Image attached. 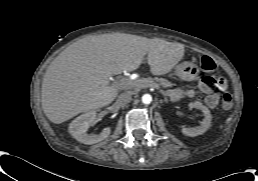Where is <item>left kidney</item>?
Wrapping results in <instances>:
<instances>
[{
    "instance_id": "obj_1",
    "label": "left kidney",
    "mask_w": 258,
    "mask_h": 181,
    "mask_svg": "<svg viewBox=\"0 0 258 181\" xmlns=\"http://www.w3.org/2000/svg\"><path fill=\"white\" fill-rule=\"evenodd\" d=\"M189 107L190 108H196V109L200 110L203 113L204 118H203V120H202V122L200 123L199 126L183 127L182 128V133L184 135L190 136V137L201 135L204 132H206L208 130V128L210 127L211 120H212V115H211L209 109L199 101H195V102L190 103Z\"/></svg>"
}]
</instances>
